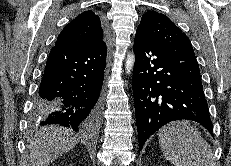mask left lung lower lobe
Segmentation results:
<instances>
[{
  "mask_svg": "<svg viewBox=\"0 0 231 166\" xmlns=\"http://www.w3.org/2000/svg\"><path fill=\"white\" fill-rule=\"evenodd\" d=\"M133 94L139 152L145 141L174 120L213 126L194 54L157 45L140 32L134 39Z\"/></svg>",
  "mask_w": 231,
  "mask_h": 166,
  "instance_id": "obj_1",
  "label": "left lung lower lobe"
}]
</instances>
